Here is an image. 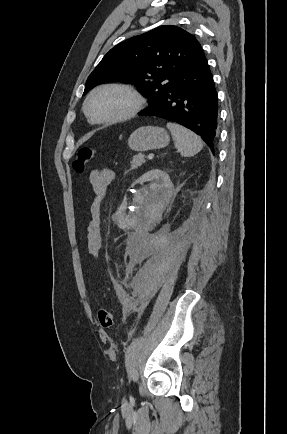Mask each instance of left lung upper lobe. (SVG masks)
Instances as JSON below:
<instances>
[{
  "mask_svg": "<svg viewBox=\"0 0 287 434\" xmlns=\"http://www.w3.org/2000/svg\"><path fill=\"white\" fill-rule=\"evenodd\" d=\"M204 55L196 38L180 27L159 26L113 47L87 79L85 95L98 84H136L149 105H155L175 77Z\"/></svg>",
  "mask_w": 287,
  "mask_h": 434,
  "instance_id": "1",
  "label": "left lung upper lobe"
}]
</instances>
